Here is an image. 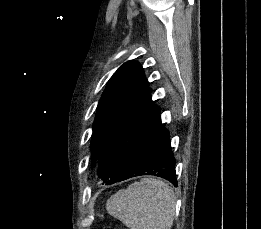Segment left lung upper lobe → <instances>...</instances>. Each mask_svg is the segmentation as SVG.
Returning a JSON list of instances; mask_svg holds the SVG:
<instances>
[{"mask_svg": "<svg viewBox=\"0 0 261 229\" xmlns=\"http://www.w3.org/2000/svg\"><path fill=\"white\" fill-rule=\"evenodd\" d=\"M149 83L139 63H124L109 80L93 125L92 167L151 102Z\"/></svg>", "mask_w": 261, "mask_h": 229, "instance_id": "obj_1", "label": "left lung upper lobe"}]
</instances>
